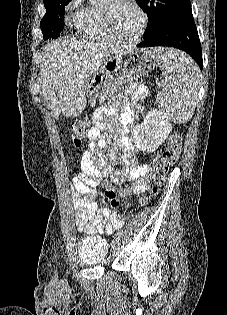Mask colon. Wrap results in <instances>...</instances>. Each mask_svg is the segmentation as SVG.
I'll return each instance as SVG.
<instances>
[{"instance_id":"obj_1","label":"colon","mask_w":227,"mask_h":315,"mask_svg":"<svg viewBox=\"0 0 227 315\" xmlns=\"http://www.w3.org/2000/svg\"><path fill=\"white\" fill-rule=\"evenodd\" d=\"M90 131L89 123L86 119H76L71 124V135L76 146L82 144V140L88 136ZM181 134L174 131L167 140V146L163 151L159 162L154 166L152 172V183L146 193H144L139 202L141 205L147 204L155 197L160 187L164 184L169 169L177 162L181 151ZM104 200L107 202L111 210L115 211L119 219H123V214L119 211V201L115 196V189L107 186L103 194Z\"/></svg>"}]
</instances>
